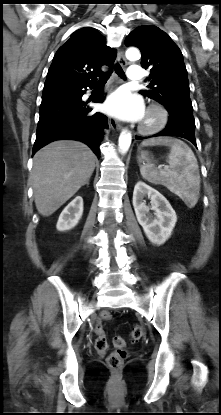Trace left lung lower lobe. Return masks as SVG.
Masks as SVG:
<instances>
[{"instance_id":"1","label":"left lung lower lobe","mask_w":221,"mask_h":415,"mask_svg":"<svg viewBox=\"0 0 221 415\" xmlns=\"http://www.w3.org/2000/svg\"><path fill=\"white\" fill-rule=\"evenodd\" d=\"M169 112V121L166 128L154 136H177L191 141L195 146L194 135L195 121L193 108L186 105H176L166 108ZM148 137L135 136V139H146Z\"/></svg>"}]
</instances>
